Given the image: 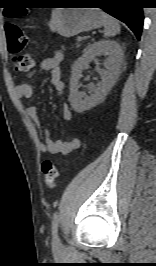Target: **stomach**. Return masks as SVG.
<instances>
[{"instance_id": "obj_1", "label": "stomach", "mask_w": 156, "mask_h": 266, "mask_svg": "<svg viewBox=\"0 0 156 266\" xmlns=\"http://www.w3.org/2000/svg\"><path fill=\"white\" fill-rule=\"evenodd\" d=\"M66 5L81 7L73 2L66 3ZM101 12L99 9L58 8L52 11L49 27L62 36L71 37L104 25Z\"/></svg>"}]
</instances>
